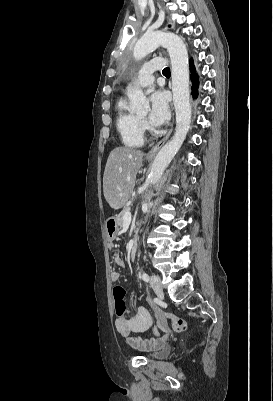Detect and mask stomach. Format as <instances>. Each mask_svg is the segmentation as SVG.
Segmentation results:
<instances>
[{
  "instance_id": "obj_1",
  "label": "stomach",
  "mask_w": 273,
  "mask_h": 401,
  "mask_svg": "<svg viewBox=\"0 0 273 401\" xmlns=\"http://www.w3.org/2000/svg\"><path fill=\"white\" fill-rule=\"evenodd\" d=\"M146 158H148V160H151L149 156H146ZM105 231L108 241H114V239H116L119 231L116 217H109V219L105 221Z\"/></svg>"
}]
</instances>
